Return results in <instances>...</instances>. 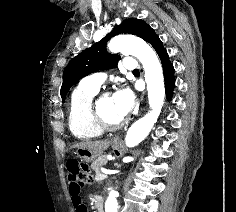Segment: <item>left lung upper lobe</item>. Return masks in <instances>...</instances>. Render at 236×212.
I'll use <instances>...</instances> for the list:
<instances>
[{
    "instance_id": "1",
    "label": "left lung upper lobe",
    "mask_w": 236,
    "mask_h": 212,
    "mask_svg": "<svg viewBox=\"0 0 236 212\" xmlns=\"http://www.w3.org/2000/svg\"><path fill=\"white\" fill-rule=\"evenodd\" d=\"M151 30L152 28L141 19H126L101 41L74 57L63 72L62 102L65 101L69 89L81 78L99 70L114 68L117 65L119 56L111 55L106 50V44L113 36L123 33L132 34L146 41Z\"/></svg>"
}]
</instances>
